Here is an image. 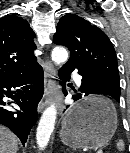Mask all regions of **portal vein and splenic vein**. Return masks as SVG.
Returning <instances> with one entry per match:
<instances>
[{"label": "portal vein and splenic vein", "mask_w": 130, "mask_h": 153, "mask_svg": "<svg viewBox=\"0 0 130 153\" xmlns=\"http://www.w3.org/2000/svg\"><path fill=\"white\" fill-rule=\"evenodd\" d=\"M97 153H102V151H101V150H99V151H97Z\"/></svg>", "instance_id": "18ae733b"}]
</instances>
